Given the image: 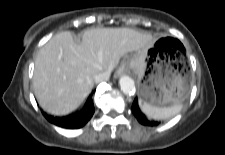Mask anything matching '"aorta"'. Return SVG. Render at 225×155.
Returning a JSON list of instances; mask_svg holds the SVG:
<instances>
[{"mask_svg":"<svg viewBox=\"0 0 225 155\" xmlns=\"http://www.w3.org/2000/svg\"><path fill=\"white\" fill-rule=\"evenodd\" d=\"M119 85L124 94L131 95L135 92L134 80L129 76H122L119 79Z\"/></svg>","mask_w":225,"mask_h":155,"instance_id":"1","label":"aorta"}]
</instances>
